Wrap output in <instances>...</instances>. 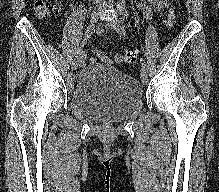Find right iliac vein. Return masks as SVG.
<instances>
[{"mask_svg":"<svg viewBox=\"0 0 219 192\" xmlns=\"http://www.w3.org/2000/svg\"><path fill=\"white\" fill-rule=\"evenodd\" d=\"M98 16H99V10H95L92 14H91V19H90V24L91 25H94L97 20H98ZM82 59L77 57L73 60L72 64H71V69L72 70H77L78 66H79V62L81 61Z\"/></svg>","mask_w":219,"mask_h":192,"instance_id":"63e3f726","label":"right iliac vein"}]
</instances>
